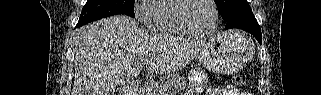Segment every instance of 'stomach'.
Wrapping results in <instances>:
<instances>
[{
    "instance_id": "obj_1",
    "label": "stomach",
    "mask_w": 321,
    "mask_h": 95,
    "mask_svg": "<svg viewBox=\"0 0 321 95\" xmlns=\"http://www.w3.org/2000/svg\"><path fill=\"white\" fill-rule=\"evenodd\" d=\"M255 52L254 43L239 31L212 38L199 52L200 64L207 70L231 74L244 68Z\"/></svg>"
}]
</instances>
